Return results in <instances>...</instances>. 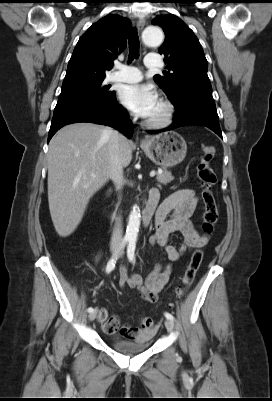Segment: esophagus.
I'll return each mask as SVG.
<instances>
[{"mask_svg": "<svg viewBox=\"0 0 272 401\" xmlns=\"http://www.w3.org/2000/svg\"><path fill=\"white\" fill-rule=\"evenodd\" d=\"M144 26H145V19L142 18V17H140V18L137 20V28H138V30H139V31H142L143 28H144ZM141 142L144 143V140H142Z\"/></svg>", "mask_w": 272, "mask_h": 401, "instance_id": "34e87169", "label": "esophagus"}]
</instances>
